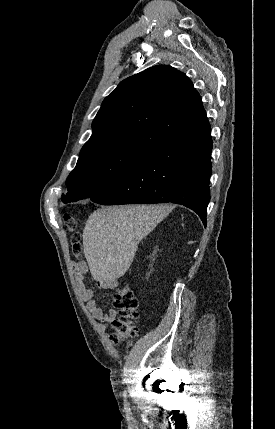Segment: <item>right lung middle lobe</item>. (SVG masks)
Returning a JSON list of instances; mask_svg holds the SVG:
<instances>
[{"label": "right lung middle lobe", "mask_w": 275, "mask_h": 429, "mask_svg": "<svg viewBox=\"0 0 275 429\" xmlns=\"http://www.w3.org/2000/svg\"><path fill=\"white\" fill-rule=\"evenodd\" d=\"M149 155L136 149L114 146L79 158L66 181L68 192L62 195V201L91 198L108 190L136 170Z\"/></svg>", "instance_id": "obj_1"}]
</instances>
